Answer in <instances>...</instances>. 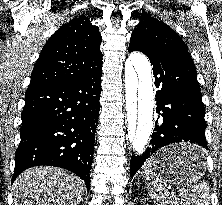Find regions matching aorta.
I'll return each instance as SVG.
<instances>
[{"instance_id":"762f6f07","label":"aorta","mask_w":222,"mask_h":205,"mask_svg":"<svg viewBox=\"0 0 222 205\" xmlns=\"http://www.w3.org/2000/svg\"><path fill=\"white\" fill-rule=\"evenodd\" d=\"M127 147L142 155L153 130L154 93L151 66L145 55L134 52L125 63Z\"/></svg>"}]
</instances>
